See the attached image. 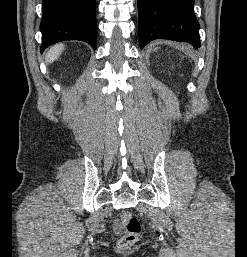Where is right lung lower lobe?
I'll return each instance as SVG.
<instances>
[{"mask_svg": "<svg viewBox=\"0 0 247 257\" xmlns=\"http://www.w3.org/2000/svg\"><path fill=\"white\" fill-rule=\"evenodd\" d=\"M41 52L65 40H81L96 49L95 0H42Z\"/></svg>", "mask_w": 247, "mask_h": 257, "instance_id": "1", "label": "right lung lower lobe"}]
</instances>
